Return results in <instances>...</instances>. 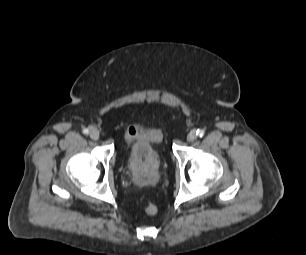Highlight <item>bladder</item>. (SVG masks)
<instances>
[{"instance_id": "bladder-1", "label": "bladder", "mask_w": 306, "mask_h": 255, "mask_svg": "<svg viewBox=\"0 0 306 255\" xmlns=\"http://www.w3.org/2000/svg\"><path fill=\"white\" fill-rule=\"evenodd\" d=\"M163 131L154 126L140 127L135 135H125L124 148L130 169L147 173L161 162Z\"/></svg>"}]
</instances>
